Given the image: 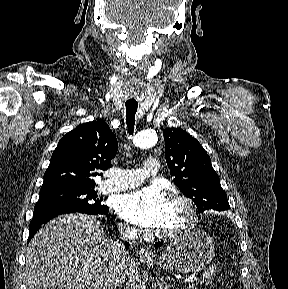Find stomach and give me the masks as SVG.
I'll use <instances>...</instances> for the list:
<instances>
[{
  "instance_id": "obj_1",
  "label": "stomach",
  "mask_w": 288,
  "mask_h": 289,
  "mask_svg": "<svg viewBox=\"0 0 288 289\" xmlns=\"http://www.w3.org/2000/svg\"><path fill=\"white\" fill-rule=\"evenodd\" d=\"M214 252L215 245L210 235L195 229L172 240L157 260H146L145 263L181 273L197 272L212 261Z\"/></svg>"
}]
</instances>
